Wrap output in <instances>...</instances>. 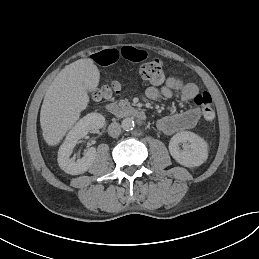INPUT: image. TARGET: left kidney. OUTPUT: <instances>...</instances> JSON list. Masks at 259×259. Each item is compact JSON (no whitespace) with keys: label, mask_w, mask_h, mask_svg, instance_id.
Here are the masks:
<instances>
[{"label":"left kidney","mask_w":259,"mask_h":259,"mask_svg":"<svg viewBox=\"0 0 259 259\" xmlns=\"http://www.w3.org/2000/svg\"><path fill=\"white\" fill-rule=\"evenodd\" d=\"M182 144L183 149L180 148ZM172 157L185 167L203 164L208 158V144L201 137L190 131L175 134L169 142Z\"/></svg>","instance_id":"obj_1"}]
</instances>
